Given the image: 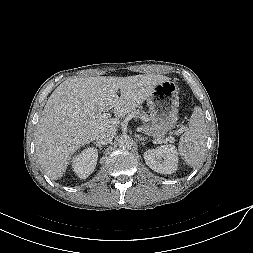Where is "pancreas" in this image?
<instances>
[{
	"mask_svg": "<svg viewBox=\"0 0 253 253\" xmlns=\"http://www.w3.org/2000/svg\"><path fill=\"white\" fill-rule=\"evenodd\" d=\"M132 115H133L135 118L142 117L144 121L147 120V117H146L145 114L142 113V112H139V111H136V110H135V111L132 113ZM143 130H144L147 134H150V135H152V136H154V137H156V138H161V134L158 133V132L153 131L152 128L149 127V126H144V127H143Z\"/></svg>",
	"mask_w": 253,
	"mask_h": 253,
	"instance_id": "1",
	"label": "pancreas"
}]
</instances>
